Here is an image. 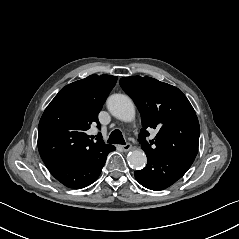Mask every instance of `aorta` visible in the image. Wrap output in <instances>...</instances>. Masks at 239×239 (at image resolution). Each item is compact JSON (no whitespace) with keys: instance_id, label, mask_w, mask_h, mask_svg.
<instances>
[{"instance_id":"1","label":"aorta","mask_w":239,"mask_h":239,"mask_svg":"<svg viewBox=\"0 0 239 239\" xmlns=\"http://www.w3.org/2000/svg\"><path fill=\"white\" fill-rule=\"evenodd\" d=\"M107 106L111 114L122 122L131 123L136 119V107L127 95L114 94L110 96ZM127 159L134 167H141L147 162L146 154L142 149L132 150L128 153Z\"/></svg>"}]
</instances>
